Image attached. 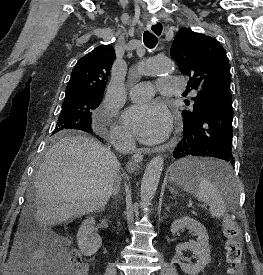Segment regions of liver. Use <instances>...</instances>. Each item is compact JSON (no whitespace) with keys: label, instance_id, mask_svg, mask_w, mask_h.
<instances>
[{"label":"liver","instance_id":"6515ba94","mask_svg":"<svg viewBox=\"0 0 263 275\" xmlns=\"http://www.w3.org/2000/svg\"><path fill=\"white\" fill-rule=\"evenodd\" d=\"M120 164L99 141L80 135L61 137L45 153L35 180V220L53 226L104 210ZM30 206L21 213L24 218Z\"/></svg>","mask_w":263,"mask_h":275}]
</instances>
